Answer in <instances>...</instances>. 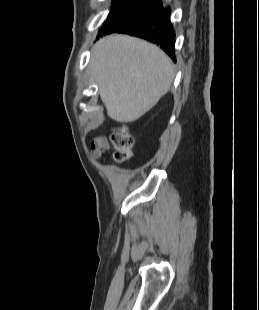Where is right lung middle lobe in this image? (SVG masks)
<instances>
[{
    "instance_id": "1",
    "label": "right lung middle lobe",
    "mask_w": 259,
    "mask_h": 310,
    "mask_svg": "<svg viewBox=\"0 0 259 310\" xmlns=\"http://www.w3.org/2000/svg\"><path fill=\"white\" fill-rule=\"evenodd\" d=\"M158 3L157 0H114L111 12L100 29L98 37L126 26L135 18L154 8Z\"/></svg>"
}]
</instances>
